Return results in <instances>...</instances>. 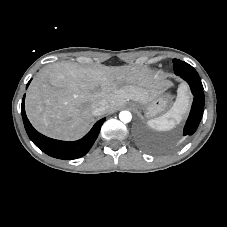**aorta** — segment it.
Returning <instances> with one entry per match:
<instances>
[{
	"label": "aorta",
	"instance_id": "1",
	"mask_svg": "<svg viewBox=\"0 0 227 227\" xmlns=\"http://www.w3.org/2000/svg\"><path fill=\"white\" fill-rule=\"evenodd\" d=\"M119 119L124 123H129L132 119V115L129 111H121L119 113Z\"/></svg>",
	"mask_w": 227,
	"mask_h": 227
}]
</instances>
